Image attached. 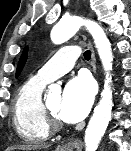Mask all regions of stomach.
I'll list each match as a JSON object with an SVG mask.
<instances>
[{
    "mask_svg": "<svg viewBox=\"0 0 131 151\" xmlns=\"http://www.w3.org/2000/svg\"><path fill=\"white\" fill-rule=\"evenodd\" d=\"M60 151H72L71 148H61Z\"/></svg>",
    "mask_w": 131,
    "mask_h": 151,
    "instance_id": "1",
    "label": "stomach"
}]
</instances>
